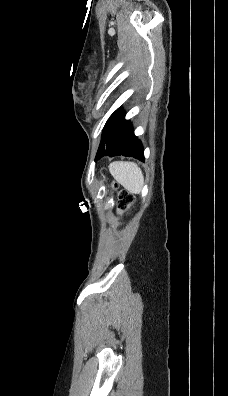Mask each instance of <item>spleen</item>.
<instances>
[{"mask_svg": "<svg viewBox=\"0 0 228 396\" xmlns=\"http://www.w3.org/2000/svg\"><path fill=\"white\" fill-rule=\"evenodd\" d=\"M109 171L115 180L128 192L139 194L144 185L141 169L133 162H113Z\"/></svg>", "mask_w": 228, "mask_h": 396, "instance_id": "spleen-1", "label": "spleen"}]
</instances>
